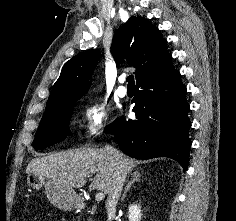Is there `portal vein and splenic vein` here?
<instances>
[{"instance_id":"18ae733b","label":"portal vein and splenic vein","mask_w":236,"mask_h":221,"mask_svg":"<svg viewBox=\"0 0 236 221\" xmlns=\"http://www.w3.org/2000/svg\"><path fill=\"white\" fill-rule=\"evenodd\" d=\"M104 197H105L104 192H98V193L95 195V200L99 202V201H102V200L104 199Z\"/></svg>"}]
</instances>
